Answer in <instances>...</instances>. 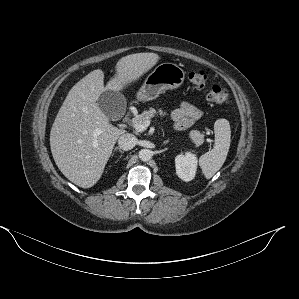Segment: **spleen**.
Here are the masks:
<instances>
[{
    "label": "spleen",
    "mask_w": 299,
    "mask_h": 299,
    "mask_svg": "<svg viewBox=\"0 0 299 299\" xmlns=\"http://www.w3.org/2000/svg\"><path fill=\"white\" fill-rule=\"evenodd\" d=\"M215 144L213 149L203 154L199 165L206 179H210L224 164L231 142V130L226 119L214 123Z\"/></svg>",
    "instance_id": "3e777b00"
}]
</instances>
